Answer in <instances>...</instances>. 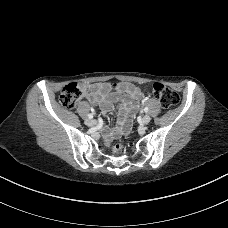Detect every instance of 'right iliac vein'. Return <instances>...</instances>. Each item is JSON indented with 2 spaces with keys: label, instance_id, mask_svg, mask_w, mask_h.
<instances>
[{
  "label": "right iliac vein",
  "instance_id": "right-iliac-vein-1",
  "mask_svg": "<svg viewBox=\"0 0 228 228\" xmlns=\"http://www.w3.org/2000/svg\"><path fill=\"white\" fill-rule=\"evenodd\" d=\"M85 124H86L87 126H93V125L96 124V121H95L94 119H92V118H89V119H86V120H85Z\"/></svg>",
  "mask_w": 228,
  "mask_h": 228
}]
</instances>
